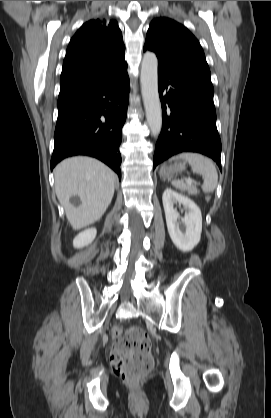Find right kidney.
<instances>
[{
    "label": "right kidney",
    "instance_id": "ca27d5eb",
    "mask_svg": "<svg viewBox=\"0 0 271 418\" xmlns=\"http://www.w3.org/2000/svg\"><path fill=\"white\" fill-rule=\"evenodd\" d=\"M97 234L95 228H89L79 233L73 240V246L75 248H83L93 242Z\"/></svg>",
    "mask_w": 271,
    "mask_h": 418
}]
</instances>
